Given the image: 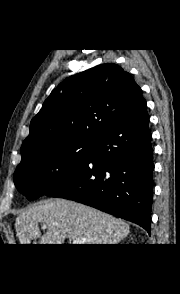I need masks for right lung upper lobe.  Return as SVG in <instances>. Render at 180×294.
Returning a JSON list of instances; mask_svg holds the SVG:
<instances>
[{"mask_svg": "<svg viewBox=\"0 0 180 294\" xmlns=\"http://www.w3.org/2000/svg\"><path fill=\"white\" fill-rule=\"evenodd\" d=\"M143 102L140 87L116 64H101L73 75L51 92L32 119L21 161L45 147L95 142Z\"/></svg>", "mask_w": 180, "mask_h": 294, "instance_id": "cb5924a9", "label": "right lung upper lobe"}]
</instances>
